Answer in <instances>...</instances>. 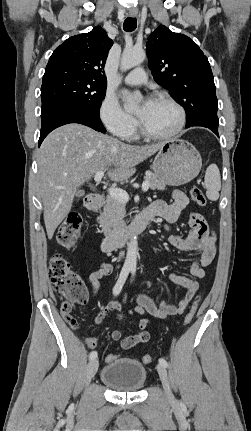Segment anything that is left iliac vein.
<instances>
[{"label":"left iliac vein","mask_w":251,"mask_h":431,"mask_svg":"<svg viewBox=\"0 0 251 431\" xmlns=\"http://www.w3.org/2000/svg\"><path fill=\"white\" fill-rule=\"evenodd\" d=\"M157 371H158L159 377L161 379V382L163 384V388H164V391H165V394H166L168 400H170V401L173 400V394H172L171 389H170L168 373H167L166 368L163 365L158 364L157 365Z\"/></svg>","instance_id":"1"}]
</instances>
